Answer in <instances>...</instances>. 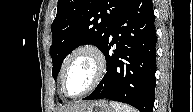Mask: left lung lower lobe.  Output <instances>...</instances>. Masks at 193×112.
Instances as JSON below:
<instances>
[{
	"instance_id": "obj_1",
	"label": "left lung lower lobe",
	"mask_w": 193,
	"mask_h": 112,
	"mask_svg": "<svg viewBox=\"0 0 193 112\" xmlns=\"http://www.w3.org/2000/svg\"><path fill=\"white\" fill-rule=\"evenodd\" d=\"M152 0H133L113 26L101 50L107 72L84 100L109 99L153 112L155 100L156 31ZM115 45L113 52L110 48Z\"/></svg>"
}]
</instances>
